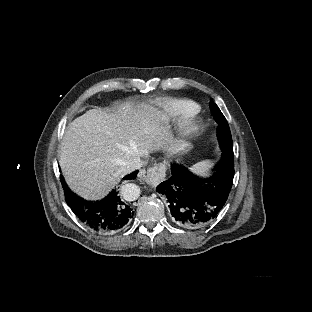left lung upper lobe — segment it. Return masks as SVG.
I'll return each mask as SVG.
<instances>
[{
  "instance_id": "left-lung-upper-lobe-1",
  "label": "left lung upper lobe",
  "mask_w": 312,
  "mask_h": 312,
  "mask_svg": "<svg viewBox=\"0 0 312 312\" xmlns=\"http://www.w3.org/2000/svg\"><path fill=\"white\" fill-rule=\"evenodd\" d=\"M211 104H212L213 117L219 125L217 135H218L220 146L233 149L231 132H230L227 120L222 114V112L220 111V109L218 108V106L213 102H211Z\"/></svg>"
}]
</instances>
